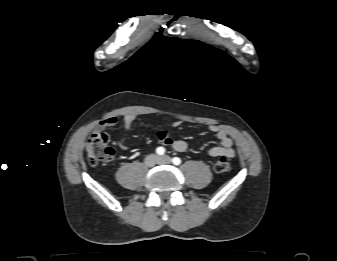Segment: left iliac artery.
Masks as SVG:
<instances>
[{
	"label": "left iliac artery",
	"mask_w": 337,
	"mask_h": 261,
	"mask_svg": "<svg viewBox=\"0 0 337 261\" xmlns=\"http://www.w3.org/2000/svg\"><path fill=\"white\" fill-rule=\"evenodd\" d=\"M172 162L174 165H180L181 164V159L179 157H174L172 159Z\"/></svg>",
	"instance_id": "obj_1"
}]
</instances>
